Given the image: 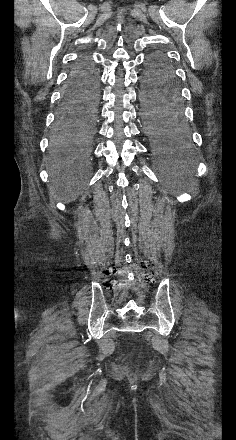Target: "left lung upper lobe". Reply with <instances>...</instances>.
<instances>
[{
    "instance_id": "5c2ea615",
    "label": "left lung upper lobe",
    "mask_w": 236,
    "mask_h": 440,
    "mask_svg": "<svg viewBox=\"0 0 236 440\" xmlns=\"http://www.w3.org/2000/svg\"><path fill=\"white\" fill-rule=\"evenodd\" d=\"M159 55H160V53H156V54H154L153 56H151V57L149 58L148 62H152V61H154Z\"/></svg>"
}]
</instances>
